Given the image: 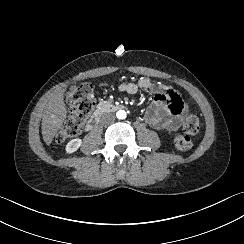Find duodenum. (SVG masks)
Returning <instances> with one entry per match:
<instances>
[{
  "label": "duodenum",
  "mask_w": 244,
  "mask_h": 244,
  "mask_svg": "<svg viewBox=\"0 0 244 244\" xmlns=\"http://www.w3.org/2000/svg\"><path fill=\"white\" fill-rule=\"evenodd\" d=\"M122 108H123V105L119 104V103H112V104L101 103V105L99 106L98 110L95 113V117L90 121L88 129H92L95 126L96 119L99 116H101V114L103 113L104 109L121 110Z\"/></svg>",
  "instance_id": "1"
}]
</instances>
